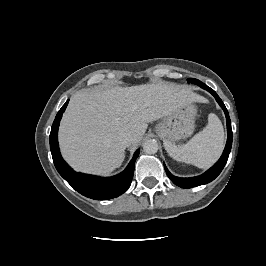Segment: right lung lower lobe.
I'll return each mask as SVG.
<instances>
[{"label": "right lung lower lobe", "mask_w": 266, "mask_h": 266, "mask_svg": "<svg viewBox=\"0 0 266 266\" xmlns=\"http://www.w3.org/2000/svg\"><path fill=\"white\" fill-rule=\"evenodd\" d=\"M69 100L62 106L52 124L49 140L54 165L59 174L80 194L95 200H107L123 194L130 186L134 164L139 155V150L134 154L133 159L127 168L120 174L113 177H98L75 172L61 157L58 145V128Z\"/></svg>", "instance_id": "98d812e1"}]
</instances>
